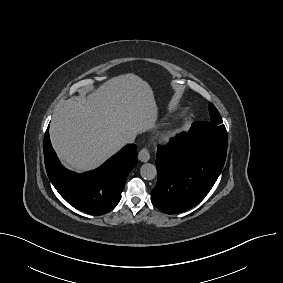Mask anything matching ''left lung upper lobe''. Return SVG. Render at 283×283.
Listing matches in <instances>:
<instances>
[{
    "mask_svg": "<svg viewBox=\"0 0 283 283\" xmlns=\"http://www.w3.org/2000/svg\"><path fill=\"white\" fill-rule=\"evenodd\" d=\"M209 113H210V120L211 123L214 126H218L219 128H225V126L222 124V118L218 112V110L216 109V107L209 102Z\"/></svg>",
    "mask_w": 283,
    "mask_h": 283,
    "instance_id": "5c2ea615",
    "label": "left lung upper lobe"
}]
</instances>
